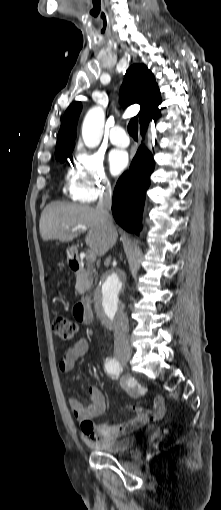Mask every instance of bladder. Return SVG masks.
Returning a JSON list of instances; mask_svg holds the SVG:
<instances>
[{
    "label": "bladder",
    "instance_id": "31cf9c89",
    "mask_svg": "<svg viewBox=\"0 0 221 510\" xmlns=\"http://www.w3.org/2000/svg\"><path fill=\"white\" fill-rule=\"evenodd\" d=\"M136 438L134 436H125L111 442H96L91 446L97 450L107 454H119L128 452L134 448Z\"/></svg>",
    "mask_w": 221,
    "mask_h": 510
}]
</instances>
